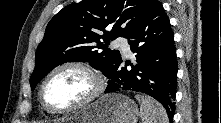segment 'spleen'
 <instances>
[{"mask_svg": "<svg viewBox=\"0 0 221 123\" xmlns=\"http://www.w3.org/2000/svg\"><path fill=\"white\" fill-rule=\"evenodd\" d=\"M135 98L140 103L142 123H169L167 113L159 102L139 94Z\"/></svg>", "mask_w": 221, "mask_h": 123, "instance_id": "obj_1", "label": "spleen"}]
</instances>
